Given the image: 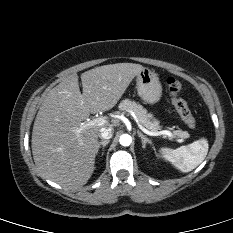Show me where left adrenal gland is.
<instances>
[{
	"label": "left adrenal gland",
	"instance_id": "a2214340",
	"mask_svg": "<svg viewBox=\"0 0 233 233\" xmlns=\"http://www.w3.org/2000/svg\"><path fill=\"white\" fill-rule=\"evenodd\" d=\"M137 134L142 139V147L143 148H146L147 143L150 145L152 144V142L148 138H146L145 135H143L139 130L137 131Z\"/></svg>",
	"mask_w": 233,
	"mask_h": 233
}]
</instances>
